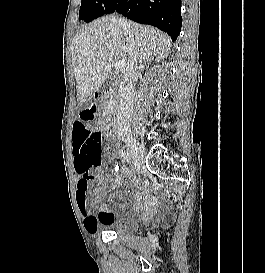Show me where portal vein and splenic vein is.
Wrapping results in <instances>:
<instances>
[{
    "label": "portal vein and splenic vein",
    "mask_w": 265,
    "mask_h": 273,
    "mask_svg": "<svg viewBox=\"0 0 265 273\" xmlns=\"http://www.w3.org/2000/svg\"><path fill=\"white\" fill-rule=\"evenodd\" d=\"M124 67H125L124 62L121 61V60H118V61H116V62L114 63V68H115V70H117V71L123 70Z\"/></svg>",
    "instance_id": "1"
}]
</instances>
